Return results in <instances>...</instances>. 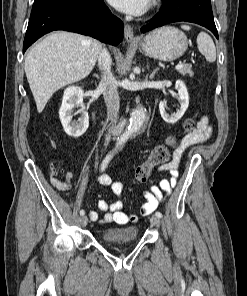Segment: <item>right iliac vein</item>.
Returning <instances> with one entry per match:
<instances>
[{
	"instance_id": "63e3f726",
	"label": "right iliac vein",
	"mask_w": 247,
	"mask_h": 296,
	"mask_svg": "<svg viewBox=\"0 0 247 296\" xmlns=\"http://www.w3.org/2000/svg\"><path fill=\"white\" fill-rule=\"evenodd\" d=\"M79 220H80V223H81L82 226H86L87 225V222H88L87 216L83 215V216L80 217Z\"/></svg>"
}]
</instances>
